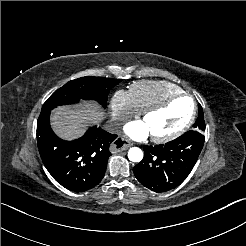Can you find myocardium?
I'll return each instance as SVG.
<instances>
[{
	"label": "myocardium",
	"instance_id": "myocardium-1",
	"mask_svg": "<svg viewBox=\"0 0 246 246\" xmlns=\"http://www.w3.org/2000/svg\"><path fill=\"white\" fill-rule=\"evenodd\" d=\"M182 98L188 99L190 101V103L193 105L191 115L182 125H180L178 128H176L174 131L167 133V134H163V135H151V138L155 142H158V143L168 142L172 139L177 138L178 136H180L181 134H183L186 130H188L190 128V126L192 125V123L194 121L195 112H196V109L194 106V100H193L192 96H190L189 94L182 93V94L176 95L174 97H171V98L165 100L164 102H161L159 104L151 106V107H149L143 111L141 118L143 121H145L146 119H148V117L151 114L166 109L171 103H173L174 101H176L178 99H182Z\"/></svg>",
	"mask_w": 246,
	"mask_h": 246
}]
</instances>
